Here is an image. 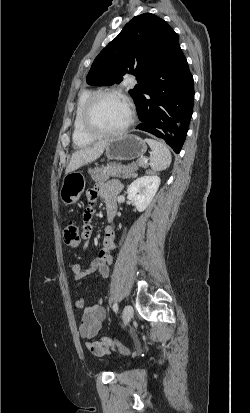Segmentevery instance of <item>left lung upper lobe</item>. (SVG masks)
<instances>
[{
  "instance_id": "5c2ea615",
  "label": "left lung upper lobe",
  "mask_w": 250,
  "mask_h": 413,
  "mask_svg": "<svg viewBox=\"0 0 250 413\" xmlns=\"http://www.w3.org/2000/svg\"><path fill=\"white\" fill-rule=\"evenodd\" d=\"M178 35L163 19L144 13L128 22L95 58L87 75L90 85L120 83L133 74L137 84L129 93L134 101L146 81L163 67L164 46Z\"/></svg>"
}]
</instances>
